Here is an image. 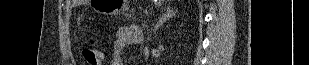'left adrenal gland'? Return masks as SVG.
Masks as SVG:
<instances>
[{
  "label": "left adrenal gland",
  "mask_w": 309,
  "mask_h": 65,
  "mask_svg": "<svg viewBox=\"0 0 309 65\" xmlns=\"http://www.w3.org/2000/svg\"><path fill=\"white\" fill-rule=\"evenodd\" d=\"M175 15V12L167 8L165 14L159 19L157 24L154 26L153 32L157 31L159 27H161L166 21H168L170 18H172Z\"/></svg>",
  "instance_id": "obj_1"
}]
</instances>
